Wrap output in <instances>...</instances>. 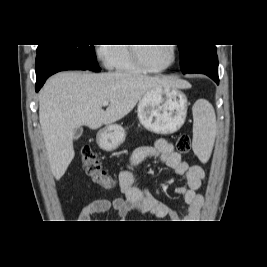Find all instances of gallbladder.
Instances as JSON below:
<instances>
[{"instance_id":"obj_1","label":"gallbladder","mask_w":267,"mask_h":267,"mask_svg":"<svg viewBox=\"0 0 267 267\" xmlns=\"http://www.w3.org/2000/svg\"><path fill=\"white\" fill-rule=\"evenodd\" d=\"M82 133H83V128L82 127L76 128L74 130L73 139L77 140L82 135Z\"/></svg>"}]
</instances>
